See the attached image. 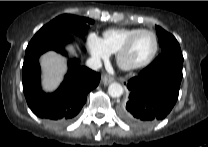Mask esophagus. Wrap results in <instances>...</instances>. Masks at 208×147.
<instances>
[{"mask_svg": "<svg viewBox=\"0 0 208 147\" xmlns=\"http://www.w3.org/2000/svg\"><path fill=\"white\" fill-rule=\"evenodd\" d=\"M113 81H114V78L111 77V76H109V75H104V76H102V83H103L104 85H108V84H110V83L113 82Z\"/></svg>", "mask_w": 208, "mask_h": 147, "instance_id": "obj_1", "label": "esophagus"}]
</instances>
